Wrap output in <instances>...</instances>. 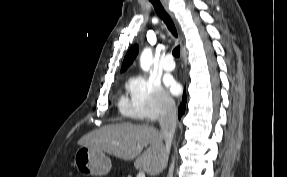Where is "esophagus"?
Returning <instances> with one entry per match:
<instances>
[{"label": "esophagus", "instance_id": "34e87169", "mask_svg": "<svg viewBox=\"0 0 287 177\" xmlns=\"http://www.w3.org/2000/svg\"><path fill=\"white\" fill-rule=\"evenodd\" d=\"M160 1H161L162 5H163L164 9H165L170 15H172L171 12H170V10H169V8H168V1H167V0H160Z\"/></svg>", "mask_w": 287, "mask_h": 177}]
</instances>
